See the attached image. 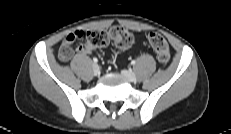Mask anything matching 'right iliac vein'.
<instances>
[{"instance_id":"obj_1","label":"right iliac vein","mask_w":231,"mask_h":134,"mask_svg":"<svg viewBox=\"0 0 231 134\" xmlns=\"http://www.w3.org/2000/svg\"><path fill=\"white\" fill-rule=\"evenodd\" d=\"M92 68H93L94 75H98L99 72H100L99 66L96 63H94L93 66H92Z\"/></svg>"}]
</instances>
